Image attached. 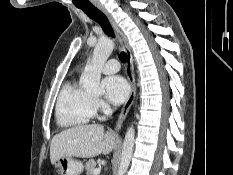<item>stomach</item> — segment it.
Wrapping results in <instances>:
<instances>
[{"label":"stomach","mask_w":233,"mask_h":175,"mask_svg":"<svg viewBox=\"0 0 233 175\" xmlns=\"http://www.w3.org/2000/svg\"><path fill=\"white\" fill-rule=\"evenodd\" d=\"M54 167L60 175H80L83 172V163L70 157L58 158Z\"/></svg>","instance_id":"stomach-1"}]
</instances>
